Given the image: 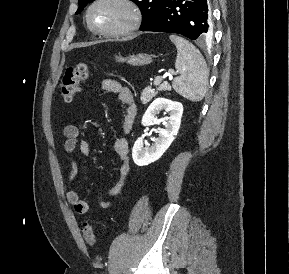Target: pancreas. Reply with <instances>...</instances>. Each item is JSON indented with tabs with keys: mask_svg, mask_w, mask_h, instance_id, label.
Returning a JSON list of instances; mask_svg holds the SVG:
<instances>
[{
	"mask_svg": "<svg viewBox=\"0 0 289 274\" xmlns=\"http://www.w3.org/2000/svg\"><path fill=\"white\" fill-rule=\"evenodd\" d=\"M171 86L168 83H162L157 90L152 88L151 86L146 87L143 89L141 94V102L142 104H147L155 95H157L158 91H170Z\"/></svg>",
	"mask_w": 289,
	"mask_h": 274,
	"instance_id": "obj_1",
	"label": "pancreas"
}]
</instances>
